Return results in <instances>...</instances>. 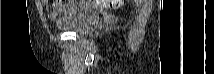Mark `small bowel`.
I'll return each instance as SVG.
<instances>
[{"mask_svg":"<svg viewBox=\"0 0 214 74\" xmlns=\"http://www.w3.org/2000/svg\"><path fill=\"white\" fill-rule=\"evenodd\" d=\"M42 3L44 5V7L46 8V10L49 11V4L47 1L45 0H42ZM85 4H89L88 2H85ZM71 8H74V6H69V5H64V4H61V3H57L54 5V9L49 11L48 13V16L50 18H56V17H59V16H62L67 10L71 9Z\"/></svg>","mask_w":214,"mask_h":74,"instance_id":"small-bowel-1","label":"small bowel"}]
</instances>
